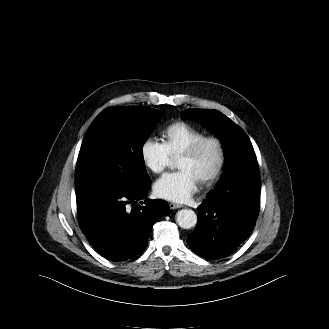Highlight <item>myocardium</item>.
I'll list each match as a JSON object with an SVG mask.
<instances>
[{"mask_svg": "<svg viewBox=\"0 0 329 329\" xmlns=\"http://www.w3.org/2000/svg\"><path fill=\"white\" fill-rule=\"evenodd\" d=\"M213 144L217 150V161L213 170L207 175L203 176L199 181L203 184L210 183L217 179L225 166L226 162V150L225 145L222 139L215 135H205L191 145H189L180 155L179 157H194L206 144Z\"/></svg>", "mask_w": 329, "mask_h": 329, "instance_id": "f54148a6", "label": "myocardium"}]
</instances>
